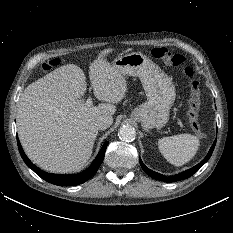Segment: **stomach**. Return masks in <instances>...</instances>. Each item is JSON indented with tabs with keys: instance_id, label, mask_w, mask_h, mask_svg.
<instances>
[{
	"instance_id": "1",
	"label": "stomach",
	"mask_w": 233,
	"mask_h": 233,
	"mask_svg": "<svg viewBox=\"0 0 233 233\" xmlns=\"http://www.w3.org/2000/svg\"><path fill=\"white\" fill-rule=\"evenodd\" d=\"M113 66L124 76L138 77L147 96V101L132 111L131 118L144 130L165 126L176 97L172 79L141 52L119 56Z\"/></svg>"
}]
</instances>
